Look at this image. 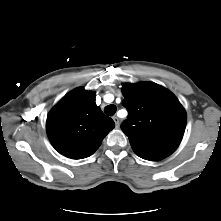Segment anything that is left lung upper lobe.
Listing matches in <instances>:
<instances>
[{
  "label": "left lung upper lobe",
  "mask_w": 221,
  "mask_h": 221,
  "mask_svg": "<svg viewBox=\"0 0 221 221\" xmlns=\"http://www.w3.org/2000/svg\"><path fill=\"white\" fill-rule=\"evenodd\" d=\"M122 93L129 116L121 128L133 151L150 161L174 152L186 127V112L176 96L152 82L124 84Z\"/></svg>",
  "instance_id": "obj_1"
}]
</instances>
